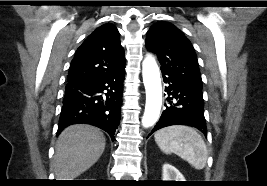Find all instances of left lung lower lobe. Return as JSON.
I'll return each instance as SVG.
<instances>
[{"instance_id": "obj_1", "label": "left lung lower lobe", "mask_w": 267, "mask_h": 186, "mask_svg": "<svg viewBox=\"0 0 267 186\" xmlns=\"http://www.w3.org/2000/svg\"><path fill=\"white\" fill-rule=\"evenodd\" d=\"M162 74L164 82L168 84L165 91L170 96L167 98L169 105L165 104V109L150 134L171 125H187L199 129L207 136L202 89L172 73L162 71Z\"/></svg>"}]
</instances>
